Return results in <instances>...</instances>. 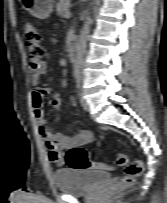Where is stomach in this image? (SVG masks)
I'll list each match as a JSON object with an SVG mask.
<instances>
[{
	"label": "stomach",
	"instance_id": "1",
	"mask_svg": "<svg viewBox=\"0 0 167 203\" xmlns=\"http://www.w3.org/2000/svg\"><path fill=\"white\" fill-rule=\"evenodd\" d=\"M22 7L39 19H46L52 12L54 0H21Z\"/></svg>",
	"mask_w": 167,
	"mask_h": 203
}]
</instances>
